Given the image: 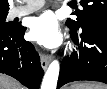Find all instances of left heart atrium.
Returning <instances> with one entry per match:
<instances>
[{
	"instance_id": "39dd6f15",
	"label": "left heart atrium",
	"mask_w": 107,
	"mask_h": 89,
	"mask_svg": "<svg viewBox=\"0 0 107 89\" xmlns=\"http://www.w3.org/2000/svg\"><path fill=\"white\" fill-rule=\"evenodd\" d=\"M30 37L45 47H57L62 42V35L56 15L45 12L31 22Z\"/></svg>"
}]
</instances>
